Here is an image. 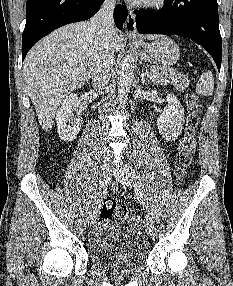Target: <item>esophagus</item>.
<instances>
[{
	"label": "esophagus",
	"mask_w": 233,
	"mask_h": 286,
	"mask_svg": "<svg viewBox=\"0 0 233 286\" xmlns=\"http://www.w3.org/2000/svg\"><path fill=\"white\" fill-rule=\"evenodd\" d=\"M125 31L127 35L136 37V24H135V16L131 9H128V14L125 22Z\"/></svg>",
	"instance_id": "34e87169"
}]
</instances>
